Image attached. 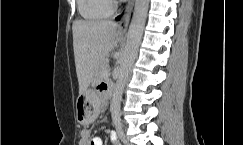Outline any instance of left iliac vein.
<instances>
[{
	"label": "left iliac vein",
	"instance_id": "1",
	"mask_svg": "<svg viewBox=\"0 0 243 145\" xmlns=\"http://www.w3.org/2000/svg\"><path fill=\"white\" fill-rule=\"evenodd\" d=\"M124 145H132L131 143H129L127 140L124 142Z\"/></svg>",
	"mask_w": 243,
	"mask_h": 145
}]
</instances>
